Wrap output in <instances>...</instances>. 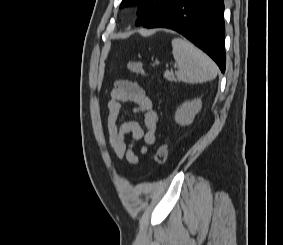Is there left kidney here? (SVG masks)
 <instances>
[{
  "label": "left kidney",
  "instance_id": "5707ae66",
  "mask_svg": "<svg viewBox=\"0 0 283 245\" xmlns=\"http://www.w3.org/2000/svg\"><path fill=\"white\" fill-rule=\"evenodd\" d=\"M201 107V99H194L183 103L175 113V121L182 126L191 124L195 115L201 110Z\"/></svg>",
  "mask_w": 283,
  "mask_h": 245
}]
</instances>
